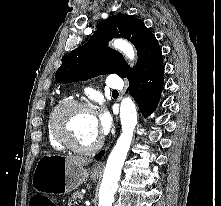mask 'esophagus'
I'll list each match as a JSON object with an SVG mask.
<instances>
[{"mask_svg": "<svg viewBox=\"0 0 221 206\" xmlns=\"http://www.w3.org/2000/svg\"><path fill=\"white\" fill-rule=\"evenodd\" d=\"M103 167H104V163H103V162L97 163V164L95 165V169H96V170H102Z\"/></svg>", "mask_w": 221, "mask_h": 206, "instance_id": "34e87169", "label": "esophagus"}]
</instances>
